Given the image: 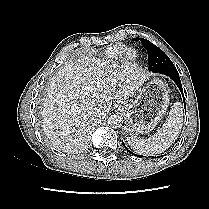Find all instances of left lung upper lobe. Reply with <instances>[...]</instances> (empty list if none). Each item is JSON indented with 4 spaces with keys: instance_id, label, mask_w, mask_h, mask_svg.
<instances>
[{
    "instance_id": "5c2ea615",
    "label": "left lung upper lobe",
    "mask_w": 209,
    "mask_h": 209,
    "mask_svg": "<svg viewBox=\"0 0 209 209\" xmlns=\"http://www.w3.org/2000/svg\"><path fill=\"white\" fill-rule=\"evenodd\" d=\"M140 40L148 53V69L150 71L160 73L164 70L175 68L172 61L160 48L146 39L141 38Z\"/></svg>"
}]
</instances>
